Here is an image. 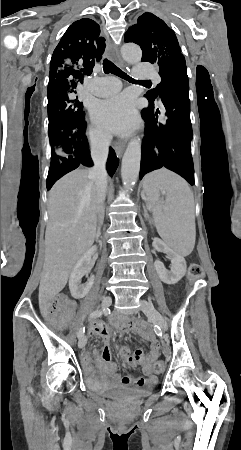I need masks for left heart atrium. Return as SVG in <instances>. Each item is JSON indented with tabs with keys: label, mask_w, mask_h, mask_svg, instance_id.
<instances>
[{
	"label": "left heart atrium",
	"mask_w": 241,
	"mask_h": 450,
	"mask_svg": "<svg viewBox=\"0 0 241 450\" xmlns=\"http://www.w3.org/2000/svg\"><path fill=\"white\" fill-rule=\"evenodd\" d=\"M91 118L103 131L126 134L138 123L135 100L128 93L116 94L98 102L91 111Z\"/></svg>",
	"instance_id": "39dd6f15"
}]
</instances>
